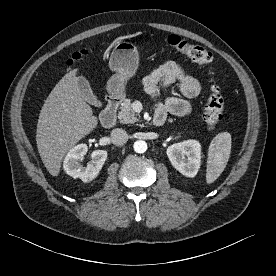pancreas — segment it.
<instances>
[{"label":"pancreas","instance_id":"obj_1","mask_svg":"<svg viewBox=\"0 0 276 276\" xmlns=\"http://www.w3.org/2000/svg\"><path fill=\"white\" fill-rule=\"evenodd\" d=\"M118 119L123 124H132L138 121V115L132 109L131 99H124L118 113Z\"/></svg>","mask_w":276,"mask_h":276}]
</instances>
